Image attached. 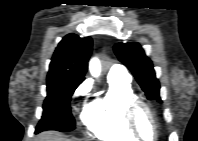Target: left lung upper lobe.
I'll list each match as a JSON object with an SVG mask.
<instances>
[{"instance_id": "1", "label": "left lung upper lobe", "mask_w": 198, "mask_h": 141, "mask_svg": "<svg viewBox=\"0 0 198 141\" xmlns=\"http://www.w3.org/2000/svg\"><path fill=\"white\" fill-rule=\"evenodd\" d=\"M114 51L119 60L131 70L148 99L162 102L159 95L160 85L155 77L152 62L146 57L140 45L118 43L114 46Z\"/></svg>"}]
</instances>
